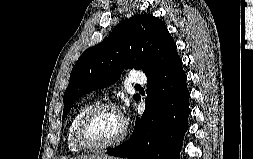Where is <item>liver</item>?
Here are the masks:
<instances>
[{"instance_id":"1","label":"liver","mask_w":253,"mask_h":159,"mask_svg":"<svg viewBox=\"0 0 253 159\" xmlns=\"http://www.w3.org/2000/svg\"><path fill=\"white\" fill-rule=\"evenodd\" d=\"M104 157H110V156L103 155V154H100V155H98V154H96V155L92 154V155L77 156V157H74L72 159H102ZM112 158H114V157H112Z\"/></svg>"}]
</instances>
